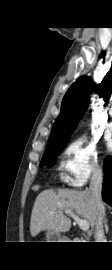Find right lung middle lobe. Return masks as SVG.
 <instances>
[{"label":"right lung middle lobe","instance_id":"1","mask_svg":"<svg viewBox=\"0 0 112 270\" xmlns=\"http://www.w3.org/2000/svg\"><path fill=\"white\" fill-rule=\"evenodd\" d=\"M66 143L67 141L56 144H48L46 151L42 157V165L53 166L55 164V158L63 150Z\"/></svg>","mask_w":112,"mask_h":270}]
</instances>
